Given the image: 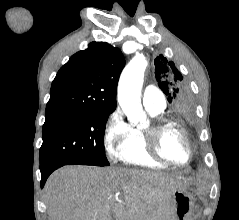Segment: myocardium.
<instances>
[{"label": "myocardium", "mask_w": 239, "mask_h": 220, "mask_svg": "<svg viewBox=\"0 0 239 220\" xmlns=\"http://www.w3.org/2000/svg\"><path fill=\"white\" fill-rule=\"evenodd\" d=\"M175 128L182 136L187 147V158L183 162H175L167 158L160 149V139L165 130ZM146 149L151 157L167 165L181 167L188 164L192 158V146L186 129L177 121L163 116L152 117L142 128Z\"/></svg>", "instance_id": "f54148a6"}]
</instances>
